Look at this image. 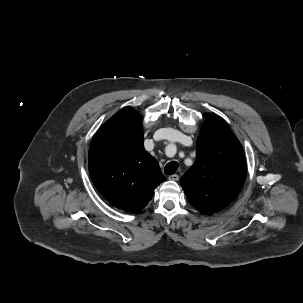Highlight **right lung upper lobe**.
I'll list each match as a JSON object with an SVG mask.
<instances>
[{"instance_id":"obj_1","label":"right lung upper lobe","mask_w":303,"mask_h":303,"mask_svg":"<svg viewBox=\"0 0 303 303\" xmlns=\"http://www.w3.org/2000/svg\"><path fill=\"white\" fill-rule=\"evenodd\" d=\"M131 111H119L97 131L89 150V173L111 205L134 213L148 204L165 178L145 151L141 119Z\"/></svg>"}]
</instances>
